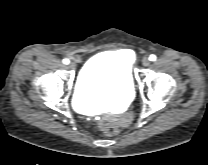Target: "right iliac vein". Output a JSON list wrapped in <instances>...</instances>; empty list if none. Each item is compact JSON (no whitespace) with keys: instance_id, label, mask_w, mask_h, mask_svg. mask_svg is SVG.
I'll return each mask as SVG.
<instances>
[{"instance_id":"1","label":"right iliac vein","mask_w":208,"mask_h":165,"mask_svg":"<svg viewBox=\"0 0 208 165\" xmlns=\"http://www.w3.org/2000/svg\"><path fill=\"white\" fill-rule=\"evenodd\" d=\"M68 66H69L70 69H75V67H76L74 63H69Z\"/></svg>"}]
</instances>
